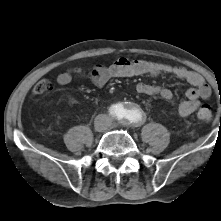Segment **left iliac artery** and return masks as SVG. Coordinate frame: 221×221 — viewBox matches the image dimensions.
I'll use <instances>...</instances> for the list:
<instances>
[{"instance_id":"1","label":"left iliac artery","mask_w":221,"mask_h":221,"mask_svg":"<svg viewBox=\"0 0 221 221\" xmlns=\"http://www.w3.org/2000/svg\"><path fill=\"white\" fill-rule=\"evenodd\" d=\"M130 122L141 123L143 121V114L139 109L130 110L124 115Z\"/></svg>"}]
</instances>
